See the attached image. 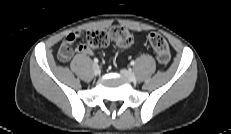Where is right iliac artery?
I'll list each match as a JSON object with an SVG mask.
<instances>
[{
	"label": "right iliac artery",
	"instance_id": "82829eb1",
	"mask_svg": "<svg viewBox=\"0 0 231 134\" xmlns=\"http://www.w3.org/2000/svg\"><path fill=\"white\" fill-rule=\"evenodd\" d=\"M94 63H98V59L97 58H94Z\"/></svg>",
	"mask_w": 231,
	"mask_h": 134
}]
</instances>
